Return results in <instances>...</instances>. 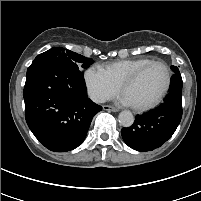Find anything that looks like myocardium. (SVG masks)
<instances>
[{"mask_svg": "<svg viewBox=\"0 0 201 201\" xmlns=\"http://www.w3.org/2000/svg\"><path fill=\"white\" fill-rule=\"evenodd\" d=\"M155 64H160L164 67L165 72H166V82L165 85L162 89V91L159 93V95L151 102L147 104H142V105H132V107L138 111H145L154 108L157 106L163 98L166 96L168 93L171 82H172V72L169 67V65L163 61V60H151L148 63L142 65L138 69H136L132 74H130L120 85L121 91L124 92L125 88L133 83L148 67L155 65Z\"/></svg>", "mask_w": 201, "mask_h": 201, "instance_id": "f54148a6", "label": "myocardium"}]
</instances>
